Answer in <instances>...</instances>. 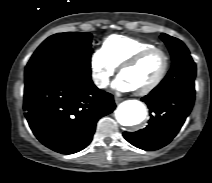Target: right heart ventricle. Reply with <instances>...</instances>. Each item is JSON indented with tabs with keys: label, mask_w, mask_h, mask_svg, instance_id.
Instances as JSON below:
<instances>
[{
	"label": "right heart ventricle",
	"mask_w": 212,
	"mask_h": 183,
	"mask_svg": "<svg viewBox=\"0 0 212 183\" xmlns=\"http://www.w3.org/2000/svg\"><path fill=\"white\" fill-rule=\"evenodd\" d=\"M155 46V44L148 41L113 35L104 41L102 49L113 64L119 67L139 52Z\"/></svg>",
	"instance_id": "obj_1"
}]
</instances>
